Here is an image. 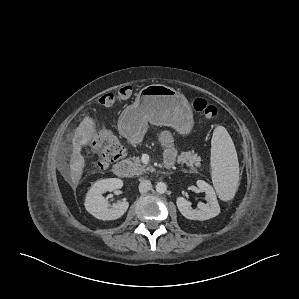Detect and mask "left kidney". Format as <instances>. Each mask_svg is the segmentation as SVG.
I'll return each instance as SVG.
<instances>
[{
  "mask_svg": "<svg viewBox=\"0 0 299 299\" xmlns=\"http://www.w3.org/2000/svg\"><path fill=\"white\" fill-rule=\"evenodd\" d=\"M197 186L201 192L206 194L207 203H198V210L192 209L191 203L184 197H178L176 200L180 213L190 220H208L220 213V206L216 197V193L211 185L203 180L197 181Z\"/></svg>",
  "mask_w": 299,
  "mask_h": 299,
  "instance_id": "5707ae66",
  "label": "left kidney"
}]
</instances>
